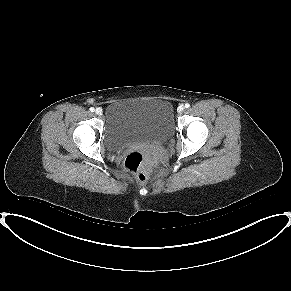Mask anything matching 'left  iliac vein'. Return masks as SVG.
Wrapping results in <instances>:
<instances>
[{
  "instance_id": "obj_1",
  "label": "left iliac vein",
  "mask_w": 291,
  "mask_h": 291,
  "mask_svg": "<svg viewBox=\"0 0 291 291\" xmlns=\"http://www.w3.org/2000/svg\"><path fill=\"white\" fill-rule=\"evenodd\" d=\"M183 110H184V106H182V105L179 106L178 109H177L178 113H182Z\"/></svg>"
}]
</instances>
